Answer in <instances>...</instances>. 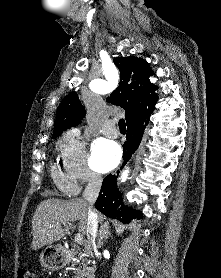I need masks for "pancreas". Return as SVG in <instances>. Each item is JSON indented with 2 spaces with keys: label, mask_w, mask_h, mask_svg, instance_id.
<instances>
[{
  "label": "pancreas",
  "mask_w": 221,
  "mask_h": 278,
  "mask_svg": "<svg viewBox=\"0 0 221 278\" xmlns=\"http://www.w3.org/2000/svg\"><path fill=\"white\" fill-rule=\"evenodd\" d=\"M80 267H82V269H80ZM80 267L76 269L73 278H93V273H94L93 267H88L84 263H81Z\"/></svg>",
  "instance_id": "cf45deb5"
}]
</instances>
